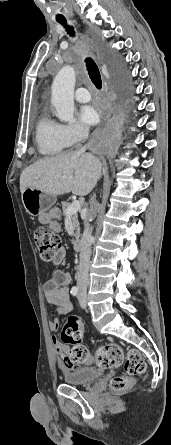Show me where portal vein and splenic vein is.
Listing matches in <instances>:
<instances>
[{
  "mask_svg": "<svg viewBox=\"0 0 171 445\" xmlns=\"http://www.w3.org/2000/svg\"><path fill=\"white\" fill-rule=\"evenodd\" d=\"M80 202L79 201H73L72 204L67 208L66 215L72 216L73 214L77 213V211L80 209Z\"/></svg>",
  "mask_w": 171,
  "mask_h": 445,
  "instance_id": "1",
  "label": "portal vein and splenic vein"
}]
</instances>
